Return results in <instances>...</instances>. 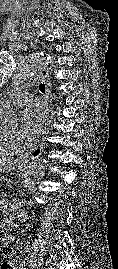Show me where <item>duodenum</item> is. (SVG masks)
Instances as JSON below:
<instances>
[{
    "mask_svg": "<svg viewBox=\"0 0 118 269\" xmlns=\"http://www.w3.org/2000/svg\"><path fill=\"white\" fill-rule=\"evenodd\" d=\"M19 216H20V219H21V220H24L25 217H26L25 214H24L23 212H21V213L19 214Z\"/></svg>",
    "mask_w": 118,
    "mask_h": 269,
    "instance_id": "410a0bca",
    "label": "duodenum"
}]
</instances>
